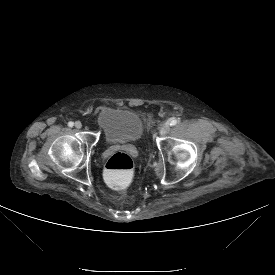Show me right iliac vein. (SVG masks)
<instances>
[{
    "mask_svg": "<svg viewBox=\"0 0 275 275\" xmlns=\"http://www.w3.org/2000/svg\"><path fill=\"white\" fill-rule=\"evenodd\" d=\"M74 126L77 128V129H80L82 127V124L80 121H76Z\"/></svg>",
    "mask_w": 275,
    "mask_h": 275,
    "instance_id": "1",
    "label": "right iliac vein"
}]
</instances>
